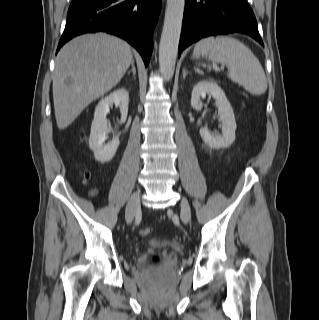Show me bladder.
<instances>
[{
	"label": "bladder",
	"instance_id": "1",
	"mask_svg": "<svg viewBox=\"0 0 319 320\" xmlns=\"http://www.w3.org/2000/svg\"><path fill=\"white\" fill-rule=\"evenodd\" d=\"M143 246L144 247H156V248L171 249V250L175 251L176 253L182 252L181 246H179L178 244H176L175 242H173L169 239L162 238V237L146 241L143 244Z\"/></svg>",
	"mask_w": 319,
	"mask_h": 320
}]
</instances>
